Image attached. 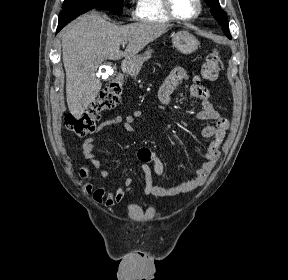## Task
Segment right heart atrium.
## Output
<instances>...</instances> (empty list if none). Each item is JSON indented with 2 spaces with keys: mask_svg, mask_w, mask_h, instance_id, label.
<instances>
[{
  "mask_svg": "<svg viewBox=\"0 0 288 280\" xmlns=\"http://www.w3.org/2000/svg\"><path fill=\"white\" fill-rule=\"evenodd\" d=\"M131 13L134 14L135 12L133 10H131Z\"/></svg>",
  "mask_w": 288,
  "mask_h": 280,
  "instance_id": "d8ad5b80",
  "label": "right heart atrium"
}]
</instances>
